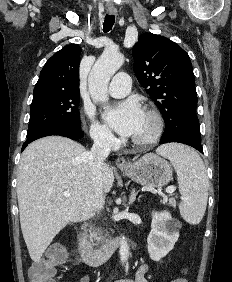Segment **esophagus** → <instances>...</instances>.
Masks as SVG:
<instances>
[{
	"label": "esophagus",
	"mask_w": 232,
	"mask_h": 282,
	"mask_svg": "<svg viewBox=\"0 0 232 282\" xmlns=\"http://www.w3.org/2000/svg\"><path fill=\"white\" fill-rule=\"evenodd\" d=\"M109 13L111 15H117V11L116 10H110ZM116 165L119 168H128L129 167V163L127 162V160L124 157H118L116 159Z\"/></svg>",
	"instance_id": "esophagus-1"
}]
</instances>
